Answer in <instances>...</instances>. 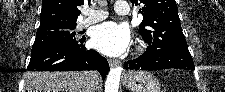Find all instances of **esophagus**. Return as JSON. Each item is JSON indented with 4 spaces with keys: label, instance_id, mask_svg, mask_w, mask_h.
<instances>
[{
    "label": "esophagus",
    "instance_id": "obj_1",
    "mask_svg": "<svg viewBox=\"0 0 225 92\" xmlns=\"http://www.w3.org/2000/svg\"><path fill=\"white\" fill-rule=\"evenodd\" d=\"M110 68H114L118 65V61L116 59H109L108 60Z\"/></svg>",
    "mask_w": 225,
    "mask_h": 92
}]
</instances>
